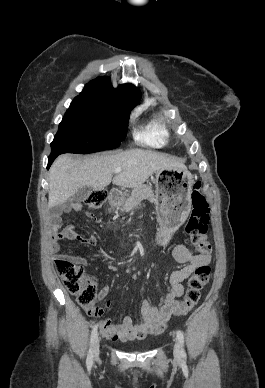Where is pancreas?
Returning <instances> with one entry per match:
<instances>
[{
  "mask_svg": "<svg viewBox=\"0 0 265 388\" xmlns=\"http://www.w3.org/2000/svg\"><path fill=\"white\" fill-rule=\"evenodd\" d=\"M142 200H151V202H154L155 200L152 188H150V186H145V184L137 186V188L132 190L131 196L127 198L123 206L125 212H130V210H134V208L140 206Z\"/></svg>",
  "mask_w": 265,
  "mask_h": 388,
  "instance_id": "cf45deb5",
  "label": "pancreas"
}]
</instances>
